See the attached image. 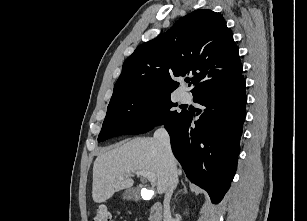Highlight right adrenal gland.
Instances as JSON below:
<instances>
[{
  "label": "right adrenal gland",
  "instance_id": "2a0ac1e0",
  "mask_svg": "<svg viewBox=\"0 0 307 221\" xmlns=\"http://www.w3.org/2000/svg\"><path fill=\"white\" fill-rule=\"evenodd\" d=\"M181 183H182V185H183V190H184V192L187 193V188H186L184 182L181 181ZM180 191H181V190H180ZM180 191H179V192H180ZM176 196H177V194L175 195V197H176Z\"/></svg>",
  "mask_w": 307,
  "mask_h": 221
}]
</instances>
